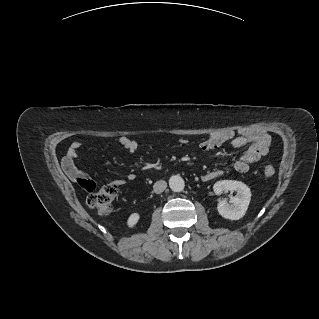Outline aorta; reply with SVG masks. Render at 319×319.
Masks as SVG:
<instances>
[{
	"label": "aorta",
	"mask_w": 319,
	"mask_h": 319,
	"mask_svg": "<svg viewBox=\"0 0 319 319\" xmlns=\"http://www.w3.org/2000/svg\"><path fill=\"white\" fill-rule=\"evenodd\" d=\"M169 186L174 192H181L184 190L185 183L181 176L174 175L169 179Z\"/></svg>",
	"instance_id": "obj_1"
}]
</instances>
